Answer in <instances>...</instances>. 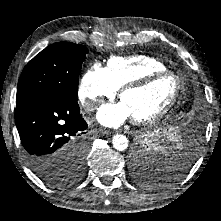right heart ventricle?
Instances as JSON below:
<instances>
[{
  "mask_svg": "<svg viewBox=\"0 0 221 221\" xmlns=\"http://www.w3.org/2000/svg\"><path fill=\"white\" fill-rule=\"evenodd\" d=\"M165 70L166 65L157 58L140 54L111 57L106 67L107 74L117 89L147 74Z\"/></svg>",
  "mask_w": 221,
  "mask_h": 221,
  "instance_id": "e07e8e85",
  "label": "right heart ventricle"
}]
</instances>
